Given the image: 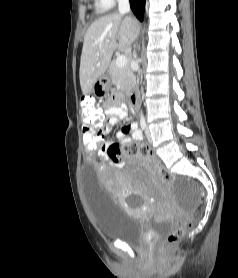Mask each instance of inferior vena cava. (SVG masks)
<instances>
[{"label": "inferior vena cava", "mask_w": 238, "mask_h": 278, "mask_svg": "<svg viewBox=\"0 0 238 278\" xmlns=\"http://www.w3.org/2000/svg\"><path fill=\"white\" fill-rule=\"evenodd\" d=\"M118 8L120 14L129 13L130 11L129 0H118Z\"/></svg>", "instance_id": "602c4592"}]
</instances>
